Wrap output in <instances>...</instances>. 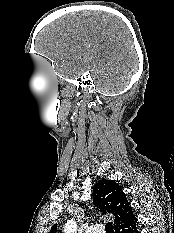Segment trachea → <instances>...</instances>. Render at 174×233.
<instances>
[{"label": "trachea", "mask_w": 174, "mask_h": 233, "mask_svg": "<svg viewBox=\"0 0 174 233\" xmlns=\"http://www.w3.org/2000/svg\"><path fill=\"white\" fill-rule=\"evenodd\" d=\"M105 230H106L107 233H114L113 232L114 230H113V224H112V222L106 223Z\"/></svg>", "instance_id": "1"}]
</instances>
